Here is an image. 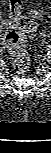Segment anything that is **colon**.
<instances>
[{"mask_svg":"<svg viewBox=\"0 0 51 153\" xmlns=\"http://www.w3.org/2000/svg\"><path fill=\"white\" fill-rule=\"evenodd\" d=\"M9 27L5 30L4 45L11 54L12 65L17 72H25L29 66L26 50V33L35 30L36 25L21 12V0H10Z\"/></svg>","mask_w":51,"mask_h":153,"instance_id":"5ec220e1","label":"colon"}]
</instances>
